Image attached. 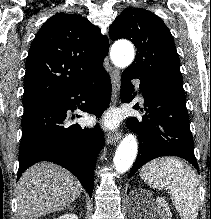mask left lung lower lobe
I'll return each mask as SVG.
<instances>
[{
    "instance_id": "1",
    "label": "left lung lower lobe",
    "mask_w": 211,
    "mask_h": 219,
    "mask_svg": "<svg viewBox=\"0 0 211 219\" xmlns=\"http://www.w3.org/2000/svg\"><path fill=\"white\" fill-rule=\"evenodd\" d=\"M134 78L141 81L140 91L144 98L146 114L141 119L131 117L127 120V127L136 132L139 140L138 156L130 170L129 178L148 161L162 156L184 158L199 170L194 155L183 83L174 80L145 79L125 70L121 83L123 103L131 102L136 95L130 81ZM133 108L139 109L138 104Z\"/></svg>"
}]
</instances>
